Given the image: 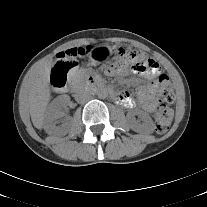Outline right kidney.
I'll list each match as a JSON object with an SVG mask.
<instances>
[{
  "label": "right kidney",
  "mask_w": 207,
  "mask_h": 207,
  "mask_svg": "<svg viewBox=\"0 0 207 207\" xmlns=\"http://www.w3.org/2000/svg\"><path fill=\"white\" fill-rule=\"evenodd\" d=\"M69 101V97L66 95L58 96L49 105L45 118H44V129L47 133H53L59 130L56 126L57 120L62 116V109L66 106ZM67 123L63 124L61 127L65 128Z\"/></svg>",
  "instance_id": "right-kidney-1"
}]
</instances>
